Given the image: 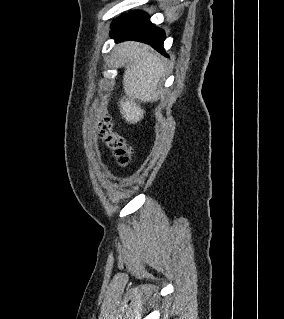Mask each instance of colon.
Listing matches in <instances>:
<instances>
[{
    "instance_id": "colon-1",
    "label": "colon",
    "mask_w": 284,
    "mask_h": 319,
    "mask_svg": "<svg viewBox=\"0 0 284 319\" xmlns=\"http://www.w3.org/2000/svg\"><path fill=\"white\" fill-rule=\"evenodd\" d=\"M97 131L101 140L110 149L116 162L121 166H127L133 157V149L124 138L113 131L110 120L107 118L99 119Z\"/></svg>"
}]
</instances>
